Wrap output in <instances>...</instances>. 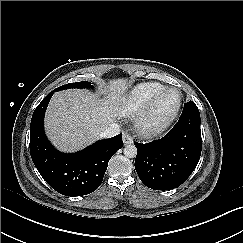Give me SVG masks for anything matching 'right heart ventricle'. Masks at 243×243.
Instances as JSON below:
<instances>
[{
	"label": "right heart ventricle",
	"instance_id": "1",
	"mask_svg": "<svg viewBox=\"0 0 243 243\" xmlns=\"http://www.w3.org/2000/svg\"><path fill=\"white\" fill-rule=\"evenodd\" d=\"M165 86L159 82H141L132 86L116 101V111L122 116H133Z\"/></svg>",
	"mask_w": 243,
	"mask_h": 243
}]
</instances>
